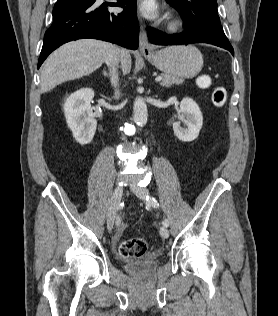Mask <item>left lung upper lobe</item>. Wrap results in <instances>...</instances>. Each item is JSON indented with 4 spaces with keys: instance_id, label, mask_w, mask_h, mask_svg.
<instances>
[{
    "instance_id": "5c2ea615",
    "label": "left lung upper lobe",
    "mask_w": 278,
    "mask_h": 316,
    "mask_svg": "<svg viewBox=\"0 0 278 316\" xmlns=\"http://www.w3.org/2000/svg\"><path fill=\"white\" fill-rule=\"evenodd\" d=\"M182 16L186 29L227 39L217 12L216 0H166Z\"/></svg>"
}]
</instances>
